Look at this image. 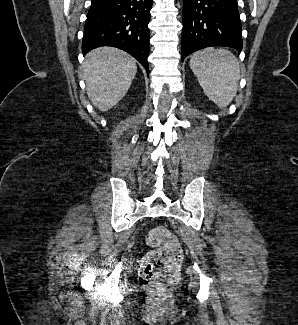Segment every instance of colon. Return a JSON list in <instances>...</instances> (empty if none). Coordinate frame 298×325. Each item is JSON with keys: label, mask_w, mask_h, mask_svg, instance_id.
Masks as SVG:
<instances>
[{"label": "colon", "mask_w": 298, "mask_h": 325, "mask_svg": "<svg viewBox=\"0 0 298 325\" xmlns=\"http://www.w3.org/2000/svg\"><path fill=\"white\" fill-rule=\"evenodd\" d=\"M152 250L142 259L140 282L154 291L167 290L178 278L183 252L177 237L163 226L153 228L146 237Z\"/></svg>", "instance_id": "5ec220e1"}]
</instances>
